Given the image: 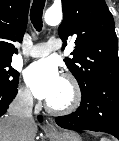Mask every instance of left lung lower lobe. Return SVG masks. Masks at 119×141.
<instances>
[{"label":"left lung lower lobe","instance_id":"left-lung-lower-lobe-1","mask_svg":"<svg viewBox=\"0 0 119 141\" xmlns=\"http://www.w3.org/2000/svg\"><path fill=\"white\" fill-rule=\"evenodd\" d=\"M70 130L109 133L119 139V79L106 78L82 93L80 107L72 114L56 118Z\"/></svg>","mask_w":119,"mask_h":141}]
</instances>
